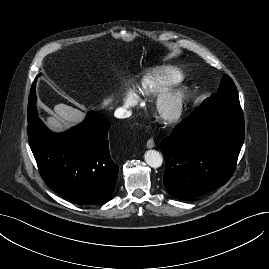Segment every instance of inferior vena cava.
Returning a JSON list of instances; mask_svg holds the SVG:
<instances>
[{
	"label": "inferior vena cava",
	"instance_id": "602c4592",
	"mask_svg": "<svg viewBox=\"0 0 269 269\" xmlns=\"http://www.w3.org/2000/svg\"><path fill=\"white\" fill-rule=\"evenodd\" d=\"M116 118H128L131 116V112L129 110L123 109V108H118L116 109L114 113Z\"/></svg>",
	"mask_w": 269,
	"mask_h": 269
}]
</instances>
